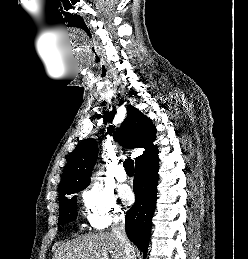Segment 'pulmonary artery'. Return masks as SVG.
Returning a JSON list of instances; mask_svg holds the SVG:
<instances>
[{
  "mask_svg": "<svg viewBox=\"0 0 248 259\" xmlns=\"http://www.w3.org/2000/svg\"><path fill=\"white\" fill-rule=\"evenodd\" d=\"M115 178L118 182H125L127 180V174L122 165L118 166Z\"/></svg>",
  "mask_w": 248,
  "mask_h": 259,
  "instance_id": "1",
  "label": "pulmonary artery"
}]
</instances>
